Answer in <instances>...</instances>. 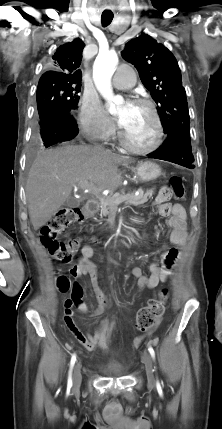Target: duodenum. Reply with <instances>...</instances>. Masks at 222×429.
Listing matches in <instances>:
<instances>
[{"label": "duodenum", "mask_w": 222, "mask_h": 429, "mask_svg": "<svg viewBox=\"0 0 222 429\" xmlns=\"http://www.w3.org/2000/svg\"><path fill=\"white\" fill-rule=\"evenodd\" d=\"M100 208V204L96 200H89L84 206V214L87 217H90L94 213H96Z\"/></svg>", "instance_id": "obj_1"}]
</instances>
